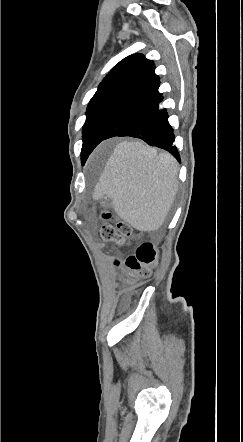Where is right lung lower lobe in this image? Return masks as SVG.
<instances>
[{
    "label": "right lung lower lobe",
    "instance_id": "1",
    "mask_svg": "<svg viewBox=\"0 0 243 442\" xmlns=\"http://www.w3.org/2000/svg\"><path fill=\"white\" fill-rule=\"evenodd\" d=\"M159 78L134 90L122 98L102 119L81 156L86 161L93 149L103 140L114 136H131L170 152L178 161L180 156L173 146V129L166 109H160L163 99L158 92Z\"/></svg>",
    "mask_w": 243,
    "mask_h": 442
}]
</instances>
